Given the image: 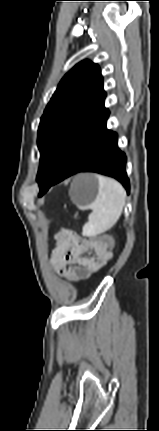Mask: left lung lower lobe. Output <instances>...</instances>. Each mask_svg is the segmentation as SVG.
<instances>
[{
	"label": "left lung lower lobe",
	"mask_w": 159,
	"mask_h": 431,
	"mask_svg": "<svg viewBox=\"0 0 159 431\" xmlns=\"http://www.w3.org/2000/svg\"><path fill=\"white\" fill-rule=\"evenodd\" d=\"M108 116L107 110L77 134L58 173L39 196L50 186L78 172H96L111 176L121 182L129 193L130 183L125 170L126 156L118 148L117 134L106 128Z\"/></svg>",
	"instance_id": "left-lung-lower-lobe-1"
}]
</instances>
